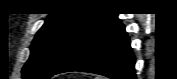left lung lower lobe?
<instances>
[{
    "label": "left lung lower lobe",
    "instance_id": "left-lung-lower-lobe-1",
    "mask_svg": "<svg viewBox=\"0 0 177 79\" xmlns=\"http://www.w3.org/2000/svg\"><path fill=\"white\" fill-rule=\"evenodd\" d=\"M134 64L124 25L117 14H108L73 47L53 75L83 71L112 79H135Z\"/></svg>",
    "mask_w": 177,
    "mask_h": 79
}]
</instances>
